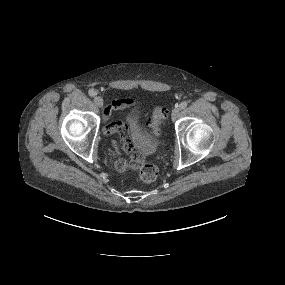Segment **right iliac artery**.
I'll return each instance as SVG.
<instances>
[{
	"instance_id": "1",
	"label": "right iliac artery",
	"mask_w": 285,
	"mask_h": 285,
	"mask_svg": "<svg viewBox=\"0 0 285 285\" xmlns=\"http://www.w3.org/2000/svg\"><path fill=\"white\" fill-rule=\"evenodd\" d=\"M88 93L91 97H94L96 95V92L93 89L89 90Z\"/></svg>"
}]
</instances>
